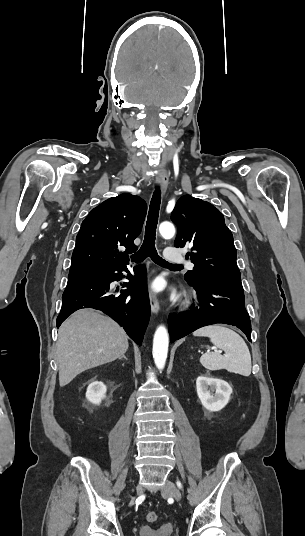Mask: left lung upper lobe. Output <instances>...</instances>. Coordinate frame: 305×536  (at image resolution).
I'll return each mask as SVG.
<instances>
[{"mask_svg":"<svg viewBox=\"0 0 305 536\" xmlns=\"http://www.w3.org/2000/svg\"><path fill=\"white\" fill-rule=\"evenodd\" d=\"M171 220L177 225L175 247H190L186 255L194 263L185 274L189 284H241L236 248L223 214L209 202L184 195L178 200Z\"/></svg>","mask_w":305,"mask_h":536,"instance_id":"1","label":"left lung upper lobe"}]
</instances>
